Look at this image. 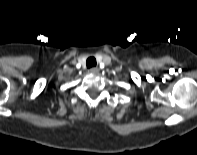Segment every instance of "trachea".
<instances>
[{"instance_id":"3493384b","label":"trachea","mask_w":197,"mask_h":155,"mask_svg":"<svg viewBox=\"0 0 197 155\" xmlns=\"http://www.w3.org/2000/svg\"><path fill=\"white\" fill-rule=\"evenodd\" d=\"M92 66H96V61L93 58H89L87 60V67H92Z\"/></svg>"}]
</instances>
